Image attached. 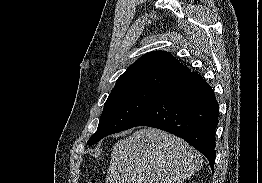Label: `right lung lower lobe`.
Segmentation results:
<instances>
[{"label":"right lung lower lobe","mask_w":262,"mask_h":183,"mask_svg":"<svg viewBox=\"0 0 262 183\" xmlns=\"http://www.w3.org/2000/svg\"><path fill=\"white\" fill-rule=\"evenodd\" d=\"M219 107L209 84L189 72L161 88L123 130L149 126L175 134L200 151L214 171Z\"/></svg>","instance_id":"98d812e1"}]
</instances>
